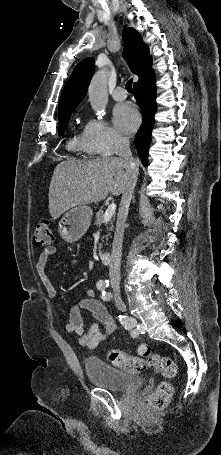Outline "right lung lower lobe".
Here are the masks:
<instances>
[{
    "mask_svg": "<svg viewBox=\"0 0 221 455\" xmlns=\"http://www.w3.org/2000/svg\"><path fill=\"white\" fill-rule=\"evenodd\" d=\"M135 98L142 110L143 121L135 136V143L142 164L147 166L148 149L151 141V132L156 112V86L152 62L142 73L139 81L134 84Z\"/></svg>",
    "mask_w": 221,
    "mask_h": 455,
    "instance_id": "obj_1",
    "label": "right lung lower lobe"
}]
</instances>
